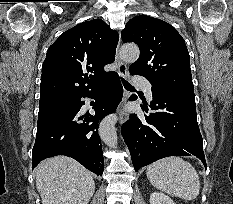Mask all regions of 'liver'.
<instances>
[{
	"instance_id": "obj_1",
	"label": "liver",
	"mask_w": 233,
	"mask_h": 204,
	"mask_svg": "<svg viewBox=\"0 0 233 204\" xmlns=\"http://www.w3.org/2000/svg\"><path fill=\"white\" fill-rule=\"evenodd\" d=\"M36 187L42 204H88L95 191L92 174L66 156L39 163Z\"/></svg>"
}]
</instances>
